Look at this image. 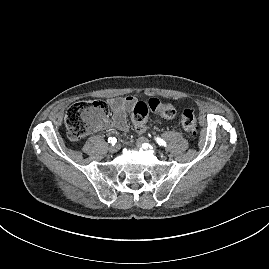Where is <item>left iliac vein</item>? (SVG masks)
Here are the masks:
<instances>
[{
  "instance_id": "1",
  "label": "left iliac vein",
  "mask_w": 269,
  "mask_h": 269,
  "mask_svg": "<svg viewBox=\"0 0 269 269\" xmlns=\"http://www.w3.org/2000/svg\"><path fill=\"white\" fill-rule=\"evenodd\" d=\"M148 142H149V140L147 138H145V137H139L137 139V145L138 146H141V145H143L145 143H148Z\"/></svg>"
}]
</instances>
